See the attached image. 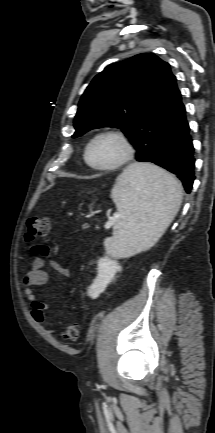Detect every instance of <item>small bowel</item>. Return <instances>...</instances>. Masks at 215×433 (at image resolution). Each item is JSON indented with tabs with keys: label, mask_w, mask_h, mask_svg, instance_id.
<instances>
[{
	"label": "small bowel",
	"mask_w": 215,
	"mask_h": 433,
	"mask_svg": "<svg viewBox=\"0 0 215 433\" xmlns=\"http://www.w3.org/2000/svg\"><path fill=\"white\" fill-rule=\"evenodd\" d=\"M33 250L39 256L32 260L30 264L31 268L24 277V283L26 285L25 294L31 303L33 318L43 324L49 333H53L54 328L49 324L46 314L47 305L38 298L35 293V288L44 286L49 282L50 276L46 271L47 266H50L65 277L69 275V271L55 260L47 261L45 259L50 254V250L47 246L36 245L33 247Z\"/></svg>",
	"instance_id": "obj_1"
}]
</instances>
